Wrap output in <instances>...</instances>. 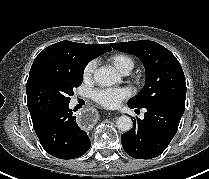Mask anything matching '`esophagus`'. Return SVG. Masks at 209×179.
<instances>
[{
    "label": "esophagus",
    "instance_id": "1",
    "mask_svg": "<svg viewBox=\"0 0 209 179\" xmlns=\"http://www.w3.org/2000/svg\"><path fill=\"white\" fill-rule=\"evenodd\" d=\"M75 119L82 130L88 131L98 122L99 115L94 108H85L76 113Z\"/></svg>",
    "mask_w": 209,
    "mask_h": 179
}]
</instances>
